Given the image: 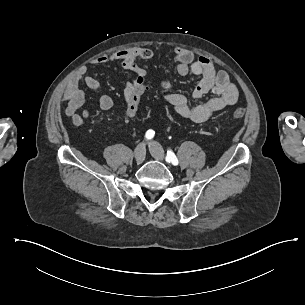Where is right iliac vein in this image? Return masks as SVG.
Returning a JSON list of instances; mask_svg holds the SVG:
<instances>
[{
    "mask_svg": "<svg viewBox=\"0 0 305 305\" xmlns=\"http://www.w3.org/2000/svg\"><path fill=\"white\" fill-rule=\"evenodd\" d=\"M135 159L138 164H141L145 159V146L143 143L139 144L134 151Z\"/></svg>",
    "mask_w": 305,
    "mask_h": 305,
    "instance_id": "right-iliac-vein-1",
    "label": "right iliac vein"
}]
</instances>
